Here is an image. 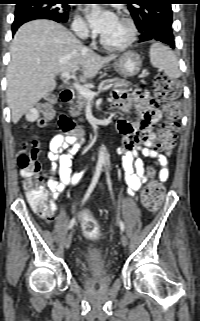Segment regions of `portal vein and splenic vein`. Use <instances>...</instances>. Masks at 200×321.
Instances as JSON below:
<instances>
[{
    "instance_id": "18ae733b",
    "label": "portal vein and splenic vein",
    "mask_w": 200,
    "mask_h": 321,
    "mask_svg": "<svg viewBox=\"0 0 200 321\" xmlns=\"http://www.w3.org/2000/svg\"><path fill=\"white\" fill-rule=\"evenodd\" d=\"M149 73L147 71L144 72V77L147 76ZM61 76L65 79L70 78V72H63ZM74 88L78 91L79 94L84 96L86 99H93L95 95H97L96 92L91 91L87 87H83L78 83H73ZM112 87V84L106 85L102 88V90H109Z\"/></svg>"
}]
</instances>
